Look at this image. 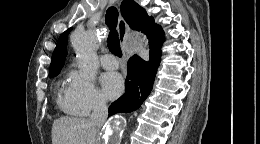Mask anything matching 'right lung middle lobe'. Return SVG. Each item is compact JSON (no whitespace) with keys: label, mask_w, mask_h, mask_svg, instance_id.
Listing matches in <instances>:
<instances>
[{"label":"right lung middle lobe","mask_w":260,"mask_h":144,"mask_svg":"<svg viewBox=\"0 0 260 144\" xmlns=\"http://www.w3.org/2000/svg\"><path fill=\"white\" fill-rule=\"evenodd\" d=\"M59 72H60V70H59V71L52 72V73H49V77L52 78V77L58 75Z\"/></svg>","instance_id":"obj_1"}]
</instances>
